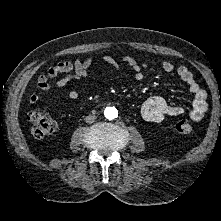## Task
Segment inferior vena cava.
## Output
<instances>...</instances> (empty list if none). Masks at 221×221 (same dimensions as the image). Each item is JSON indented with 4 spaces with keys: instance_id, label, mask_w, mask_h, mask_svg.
<instances>
[{
    "instance_id": "inferior-vena-cava-1",
    "label": "inferior vena cava",
    "mask_w": 221,
    "mask_h": 221,
    "mask_svg": "<svg viewBox=\"0 0 221 221\" xmlns=\"http://www.w3.org/2000/svg\"><path fill=\"white\" fill-rule=\"evenodd\" d=\"M96 120V116L95 115H88L85 118V122L86 123H93Z\"/></svg>"
}]
</instances>
